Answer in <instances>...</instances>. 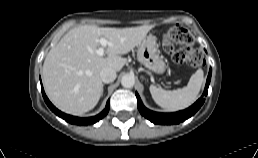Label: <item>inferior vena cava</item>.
Listing matches in <instances>:
<instances>
[{
	"label": "inferior vena cava",
	"instance_id": "1",
	"mask_svg": "<svg viewBox=\"0 0 258 158\" xmlns=\"http://www.w3.org/2000/svg\"><path fill=\"white\" fill-rule=\"evenodd\" d=\"M116 71L110 67L103 68L100 71V78L104 83H111L116 79Z\"/></svg>",
	"mask_w": 258,
	"mask_h": 158
}]
</instances>
